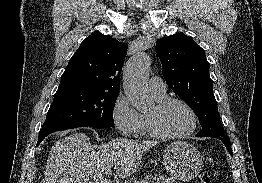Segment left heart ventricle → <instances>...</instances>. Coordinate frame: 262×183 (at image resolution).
<instances>
[{
    "instance_id": "left-heart-ventricle-1",
    "label": "left heart ventricle",
    "mask_w": 262,
    "mask_h": 183,
    "mask_svg": "<svg viewBox=\"0 0 262 183\" xmlns=\"http://www.w3.org/2000/svg\"><path fill=\"white\" fill-rule=\"evenodd\" d=\"M155 107L149 112L153 114ZM161 129L168 134H180L192 126L190 112L181 104L174 103L164 110L158 117Z\"/></svg>"
}]
</instances>
